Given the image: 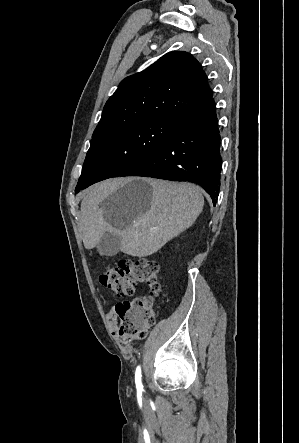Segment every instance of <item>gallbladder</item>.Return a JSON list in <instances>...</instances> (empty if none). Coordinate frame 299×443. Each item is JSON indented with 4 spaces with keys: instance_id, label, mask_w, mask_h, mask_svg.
<instances>
[{
    "instance_id": "obj_1",
    "label": "gallbladder",
    "mask_w": 299,
    "mask_h": 443,
    "mask_svg": "<svg viewBox=\"0 0 299 443\" xmlns=\"http://www.w3.org/2000/svg\"><path fill=\"white\" fill-rule=\"evenodd\" d=\"M121 238L118 235L106 233L97 244V252L104 256H115L120 251Z\"/></svg>"
}]
</instances>
